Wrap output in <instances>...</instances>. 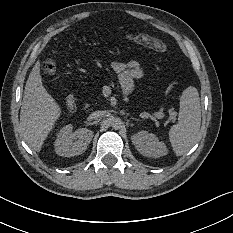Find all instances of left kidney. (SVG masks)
<instances>
[{
	"instance_id": "left-kidney-1",
	"label": "left kidney",
	"mask_w": 233,
	"mask_h": 233,
	"mask_svg": "<svg viewBox=\"0 0 233 233\" xmlns=\"http://www.w3.org/2000/svg\"><path fill=\"white\" fill-rule=\"evenodd\" d=\"M135 148L146 157L158 158L168 153L166 145L155 134L140 131L131 136Z\"/></svg>"
}]
</instances>
